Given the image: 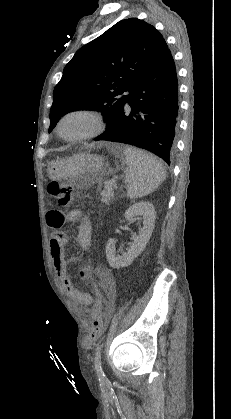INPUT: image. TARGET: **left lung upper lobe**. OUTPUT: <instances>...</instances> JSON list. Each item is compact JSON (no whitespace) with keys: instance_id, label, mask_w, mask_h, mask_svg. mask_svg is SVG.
Masks as SVG:
<instances>
[{"instance_id":"5c2ea615","label":"left lung upper lobe","mask_w":231,"mask_h":419,"mask_svg":"<svg viewBox=\"0 0 231 419\" xmlns=\"http://www.w3.org/2000/svg\"><path fill=\"white\" fill-rule=\"evenodd\" d=\"M152 25L130 18L121 20L80 48L65 66L53 92L51 132L68 112L92 108L103 112L107 127L143 74L168 52Z\"/></svg>"}]
</instances>
